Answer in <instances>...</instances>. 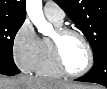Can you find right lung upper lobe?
<instances>
[{"instance_id":"1","label":"right lung upper lobe","mask_w":107,"mask_h":89,"mask_svg":"<svg viewBox=\"0 0 107 89\" xmlns=\"http://www.w3.org/2000/svg\"><path fill=\"white\" fill-rule=\"evenodd\" d=\"M0 17L25 20V0H0Z\"/></svg>"}]
</instances>
